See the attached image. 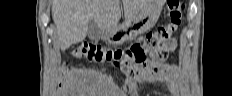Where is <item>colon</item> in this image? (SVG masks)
<instances>
[{"label":"colon","instance_id":"obj_1","mask_svg":"<svg viewBox=\"0 0 232 96\" xmlns=\"http://www.w3.org/2000/svg\"><path fill=\"white\" fill-rule=\"evenodd\" d=\"M167 6L168 21L160 25L156 31L149 33L143 45L136 44L127 49H119L101 47L85 42L75 49L74 55L91 62L122 65L131 76H138L147 72H159L161 65L157 62L167 57L169 50L165 46L172 41L171 37L178 29L183 10L180 0H167ZM148 51H150L156 63L148 60Z\"/></svg>","mask_w":232,"mask_h":96}]
</instances>
